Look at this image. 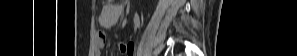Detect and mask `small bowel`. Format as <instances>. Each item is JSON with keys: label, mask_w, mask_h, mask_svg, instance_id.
<instances>
[{"label": "small bowel", "mask_w": 297, "mask_h": 56, "mask_svg": "<svg viewBox=\"0 0 297 56\" xmlns=\"http://www.w3.org/2000/svg\"><path fill=\"white\" fill-rule=\"evenodd\" d=\"M123 5H124L123 0H114V1H108L102 6V10L99 16V21L104 28H111L118 22L123 10ZM105 46H106V34L104 32H100L98 34V42H97L98 56L100 55L99 51L101 49H104ZM119 49L121 52L131 55L133 52V45L120 43Z\"/></svg>", "instance_id": "c3829d8e"}]
</instances>
